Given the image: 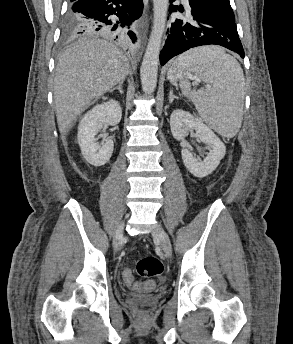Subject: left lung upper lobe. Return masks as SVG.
I'll list each match as a JSON object with an SVG mask.
<instances>
[{"mask_svg": "<svg viewBox=\"0 0 293 344\" xmlns=\"http://www.w3.org/2000/svg\"><path fill=\"white\" fill-rule=\"evenodd\" d=\"M213 1L216 5H218L224 12L228 13L229 16L234 17L233 10L230 6L229 0H211Z\"/></svg>", "mask_w": 293, "mask_h": 344, "instance_id": "5c2ea615", "label": "left lung upper lobe"}]
</instances>
